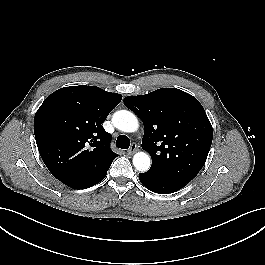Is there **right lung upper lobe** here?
Returning <instances> with one entry per match:
<instances>
[{
  "mask_svg": "<svg viewBox=\"0 0 265 265\" xmlns=\"http://www.w3.org/2000/svg\"><path fill=\"white\" fill-rule=\"evenodd\" d=\"M122 95L99 87L70 86L50 94L34 117L39 153L51 174L68 185L110 168L118 154L102 123Z\"/></svg>",
  "mask_w": 265,
  "mask_h": 265,
  "instance_id": "cb5924a9",
  "label": "right lung upper lobe"
}]
</instances>
